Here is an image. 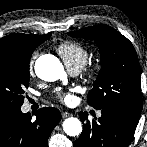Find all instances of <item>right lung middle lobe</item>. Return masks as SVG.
I'll return each mask as SVG.
<instances>
[{"instance_id":"1","label":"right lung middle lobe","mask_w":147,"mask_h":147,"mask_svg":"<svg viewBox=\"0 0 147 147\" xmlns=\"http://www.w3.org/2000/svg\"><path fill=\"white\" fill-rule=\"evenodd\" d=\"M29 51L0 50V111L19 109L29 85Z\"/></svg>"}]
</instances>
